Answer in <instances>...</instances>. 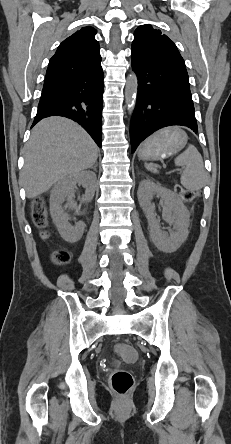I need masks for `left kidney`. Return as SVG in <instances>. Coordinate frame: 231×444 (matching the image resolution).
Segmentation results:
<instances>
[{
  "label": "left kidney",
  "mask_w": 231,
  "mask_h": 444,
  "mask_svg": "<svg viewBox=\"0 0 231 444\" xmlns=\"http://www.w3.org/2000/svg\"><path fill=\"white\" fill-rule=\"evenodd\" d=\"M138 201L146 213L150 227L151 240L162 252H175L186 240L189 231L190 214L183 202L171 190L151 180H142L138 188ZM154 196L163 201V214L167 222L173 224L170 234L162 232L155 217V208L151 203Z\"/></svg>",
  "instance_id": "1"
}]
</instances>
